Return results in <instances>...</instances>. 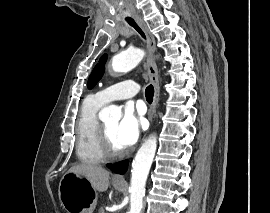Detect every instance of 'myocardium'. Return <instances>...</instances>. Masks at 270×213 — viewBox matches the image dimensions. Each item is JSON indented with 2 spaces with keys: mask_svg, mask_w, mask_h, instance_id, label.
Wrapping results in <instances>:
<instances>
[{
  "mask_svg": "<svg viewBox=\"0 0 270 213\" xmlns=\"http://www.w3.org/2000/svg\"><path fill=\"white\" fill-rule=\"evenodd\" d=\"M99 143L101 150L107 159L118 158L124 154L122 150H116L112 146L107 131L102 123H99Z\"/></svg>",
  "mask_w": 270,
  "mask_h": 213,
  "instance_id": "f54148a6",
  "label": "myocardium"
}]
</instances>
